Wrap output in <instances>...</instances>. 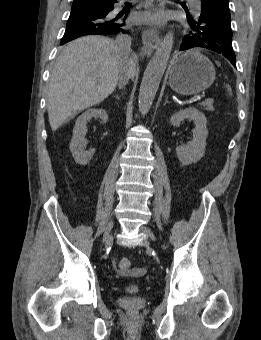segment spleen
Returning <instances> with one entry per match:
<instances>
[{
    "label": "spleen",
    "instance_id": "1",
    "mask_svg": "<svg viewBox=\"0 0 261 340\" xmlns=\"http://www.w3.org/2000/svg\"><path fill=\"white\" fill-rule=\"evenodd\" d=\"M227 90L230 92V88H229V86H227Z\"/></svg>",
    "mask_w": 261,
    "mask_h": 340
}]
</instances>
